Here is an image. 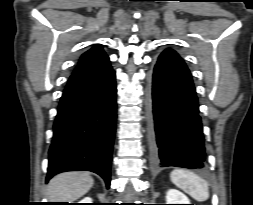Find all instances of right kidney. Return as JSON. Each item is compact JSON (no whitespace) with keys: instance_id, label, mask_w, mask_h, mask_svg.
I'll return each instance as SVG.
<instances>
[{"instance_id":"obj_1","label":"right kidney","mask_w":253,"mask_h":205,"mask_svg":"<svg viewBox=\"0 0 253 205\" xmlns=\"http://www.w3.org/2000/svg\"><path fill=\"white\" fill-rule=\"evenodd\" d=\"M79 203H92V199L90 197H85Z\"/></svg>"}]
</instances>
